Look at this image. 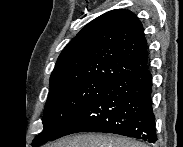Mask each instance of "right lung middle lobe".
<instances>
[{
	"label": "right lung middle lobe",
	"mask_w": 183,
	"mask_h": 147,
	"mask_svg": "<svg viewBox=\"0 0 183 147\" xmlns=\"http://www.w3.org/2000/svg\"><path fill=\"white\" fill-rule=\"evenodd\" d=\"M107 84L102 80L85 79L50 87L43 115L44 129L33 140V146L53 140L63 124Z\"/></svg>",
	"instance_id": "1"
}]
</instances>
